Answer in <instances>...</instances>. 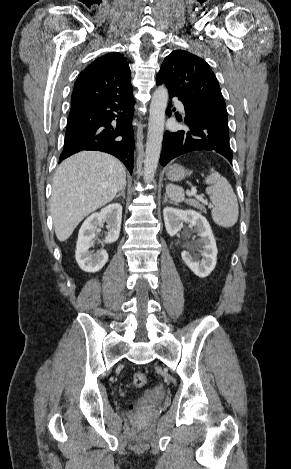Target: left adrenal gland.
Here are the masks:
<instances>
[{
    "label": "left adrenal gland",
    "mask_w": 291,
    "mask_h": 469,
    "mask_svg": "<svg viewBox=\"0 0 291 469\" xmlns=\"http://www.w3.org/2000/svg\"><path fill=\"white\" fill-rule=\"evenodd\" d=\"M166 202L172 203L170 200H168L167 195L164 194V201H163V203H166Z\"/></svg>",
    "instance_id": "left-adrenal-gland-1"
}]
</instances>
